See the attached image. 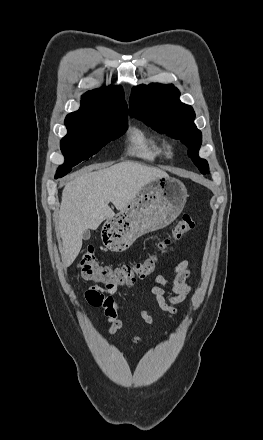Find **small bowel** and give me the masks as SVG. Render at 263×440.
Wrapping results in <instances>:
<instances>
[{
	"label": "small bowel",
	"mask_w": 263,
	"mask_h": 440,
	"mask_svg": "<svg viewBox=\"0 0 263 440\" xmlns=\"http://www.w3.org/2000/svg\"><path fill=\"white\" fill-rule=\"evenodd\" d=\"M174 251L173 248H167L162 251V255H167ZM191 271L188 261L180 262L172 271L169 279L163 275H157L154 279V285L151 293L156 300L160 310L174 316L178 310L176 304L184 302L191 290L192 286L189 282ZM117 288H108L106 286L91 285L84 291L85 301L92 307H100L104 309V314L109 323V333L115 334L122 328V322L118 318L119 312L128 307V304H121L115 298ZM141 317L149 324L153 323V318L147 312H141ZM133 343L138 345L141 338L135 336Z\"/></svg>",
	"instance_id": "small-bowel-1"
}]
</instances>
